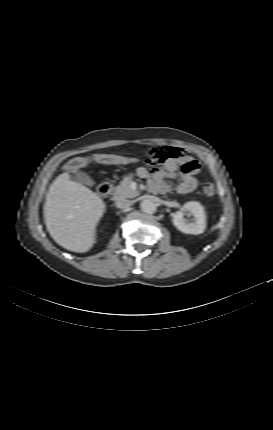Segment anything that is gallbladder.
<instances>
[{
    "mask_svg": "<svg viewBox=\"0 0 273 430\" xmlns=\"http://www.w3.org/2000/svg\"><path fill=\"white\" fill-rule=\"evenodd\" d=\"M74 179L84 185L87 186H93L94 185V180L87 174L84 172L81 173H77L74 177Z\"/></svg>",
    "mask_w": 273,
    "mask_h": 430,
    "instance_id": "bac80fb5",
    "label": "gallbladder"
}]
</instances>
